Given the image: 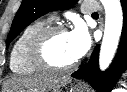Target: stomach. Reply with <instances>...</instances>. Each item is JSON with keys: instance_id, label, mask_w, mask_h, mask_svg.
Returning a JSON list of instances; mask_svg holds the SVG:
<instances>
[{"instance_id": "1", "label": "stomach", "mask_w": 127, "mask_h": 92, "mask_svg": "<svg viewBox=\"0 0 127 92\" xmlns=\"http://www.w3.org/2000/svg\"><path fill=\"white\" fill-rule=\"evenodd\" d=\"M71 92H89V89L84 85L74 87Z\"/></svg>"}]
</instances>
